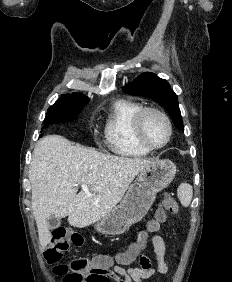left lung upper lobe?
<instances>
[{"label": "left lung upper lobe", "mask_w": 232, "mask_h": 282, "mask_svg": "<svg viewBox=\"0 0 232 282\" xmlns=\"http://www.w3.org/2000/svg\"><path fill=\"white\" fill-rule=\"evenodd\" d=\"M123 91L130 95L152 98L168 111L175 126L184 131L178 96L165 79H161L153 73H143L132 83L126 85Z\"/></svg>", "instance_id": "obj_1"}]
</instances>
